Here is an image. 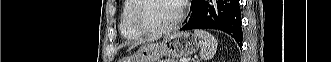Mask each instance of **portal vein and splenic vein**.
Listing matches in <instances>:
<instances>
[{
    "instance_id": "18ae733b",
    "label": "portal vein and splenic vein",
    "mask_w": 331,
    "mask_h": 62,
    "mask_svg": "<svg viewBox=\"0 0 331 62\" xmlns=\"http://www.w3.org/2000/svg\"><path fill=\"white\" fill-rule=\"evenodd\" d=\"M181 62H186V60H181Z\"/></svg>"
}]
</instances>
